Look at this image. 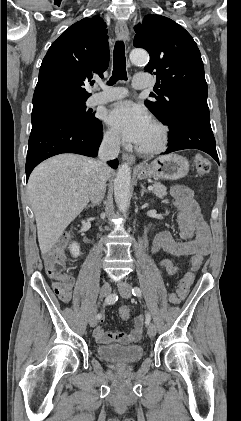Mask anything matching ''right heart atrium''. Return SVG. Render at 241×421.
<instances>
[{
  "instance_id": "d8ad5b80",
  "label": "right heart atrium",
  "mask_w": 241,
  "mask_h": 421,
  "mask_svg": "<svg viewBox=\"0 0 241 421\" xmlns=\"http://www.w3.org/2000/svg\"><path fill=\"white\" fill-rule=\"evenodd\" d=\"M104 141L108 146L112 148H117L120 145V139L118 135L112 130H107L105 132Z\"/></svg>"
}]
</instances>
